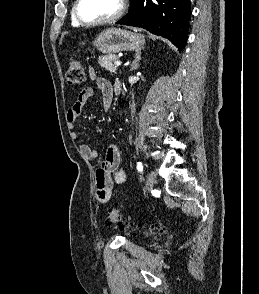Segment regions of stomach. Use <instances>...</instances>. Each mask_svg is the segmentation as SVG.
Returning <instances> with one entry per match:
<instances>
[{
  "instance_id": "0dacf381",
  "label": "stomach",
  "mask_w": 259,
  "mask_h": 294,
  "mask_svg": "<svg viewBox=\"0 0 259 294\" xmlns=\"http://www.w3.org/2000/svg\"><path fill=\"white\" fill-rule=\"evenodd\" d=\"M144 43L143 35L118 28L102 31L93 41V45L100 52L108 55L122 51H139Z\"/></svg>"
}]
</instances>
